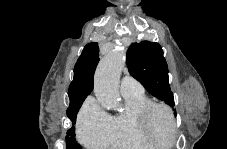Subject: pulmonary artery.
Wrapping results in <instances>:
<instances>
[{
    "mask_svg": "<svg viewBox=\"0 0 227 149\" xmlns=\"http://www.w3.org/2000/svg\"><path fill=\"white\" fill-rule=\"evenodd\" d=\"M120 89L122 94L137 93L143 91L142 85L130 76H124L121 79Z\"/></svg>",
    "mask_w": 227,
    "mask_h": 149,
    "instance_id": "pulmonary-artery-1",
    "label": "pulmonary artery"
}]
</instances>
